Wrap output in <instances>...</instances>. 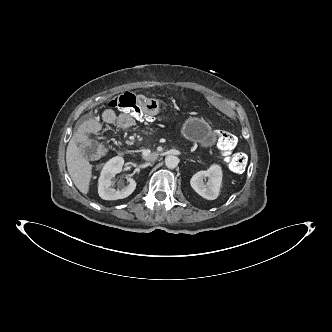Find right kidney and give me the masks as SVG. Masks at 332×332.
<instances>
[{
    "mask_svg": "<svg viewBox=\"0 0 332 332\" xmlns=\"http://www.w3.org/2000/svg\"><path fill=\"white\" fill-rule=\"evenodd\" d=\"M123 165L124 159L120 156H116L104 164L98 181V194L102 199H123L131 195L135 190L136 182L130 177H127L129 185L122 188L121 190H115L111 188V179L114 178L117 173L121 172Z\"/></svg>",
    "mask_w": 332,
    "mask_h": 332,
    "instance_id": "right-kidney-1",
    "label": "right kidney"
}]
</instances>
